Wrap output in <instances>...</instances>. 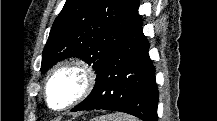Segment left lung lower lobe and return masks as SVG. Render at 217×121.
<instances>
[{
    "instance_id": "1",
    "label": "left lung lower lobe",
    "mask_w": 217,
    "mask_h": 121,
    "mask_svg": "<svg viewBox=\"0 0 217 121\" xmlns=\"http://www.w3.org/2000/svg\"><path fill=\"white\" fill-rule=\"evenodd\" d=\"M149 42L137 14L133 24L97 72L90 95L72 111L105 109L126 112L144 121H158L155 67Z\"/></svg>"
}]
</instances>
